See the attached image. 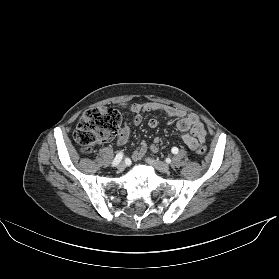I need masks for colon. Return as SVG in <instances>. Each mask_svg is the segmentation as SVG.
Returning <instances> with one entry per match:
<instances>
[{
    "instance_id": "5ec220e1",
    "label": "colon",
    "mask_w": 279,
    "mask_h": 279,
    "mask_svg": "<svg viewBox=\"0 0 279 279\" xmlns=\"http://www.w3.org/2000/svg\"><path fill=\"white\" fill-rule=\"evenodd\" d=\"M121 126V115L115 109L95 108L84 112L78 121L74 138L83 153L91 152L100 142L113 138ZM195 151L205 154V146H198Z\"/></svg>"
}]
</instances>
